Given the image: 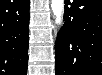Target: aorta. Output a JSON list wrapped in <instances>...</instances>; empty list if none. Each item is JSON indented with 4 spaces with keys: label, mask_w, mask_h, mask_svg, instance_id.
I'll use <instances>...</instances> for the list:
<instances>
[{
    "label": "aorta",
    "mask_w": 102,
    "mask_h": 75,
    "mask_svg": "<svg viewBox=\"0 0 102 75\" xmlns=\"http://www.w3.org/2000/svg\"><path fill=\"white\" fill-rule=\"evenodd\" d=\"M51 9L55 16V23L61 25L64 12V0H51Z\"/></svg>",
    "instance_id": "obj_1"
}]
</instances>
